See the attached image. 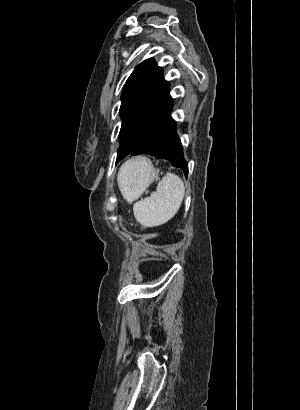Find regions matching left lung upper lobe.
Returning <instances> with one entry per match:
<instances>
[{"label":"left lung upper lobe","instance_id":"obj_1","mask_svg":"<svg viewBox=\"0 0 300 410\" xmlns=\"http://www.w3.org/2000/svg\"><path fill=\"white\" fill-rule=\"evenodd\" d=\"M163 70L150 58L138 64L121 96L120 147L117 161L142 146L171 113L173 100Z\"/></svg>","mask_w":300,"mask_h":410}]
</instances>
